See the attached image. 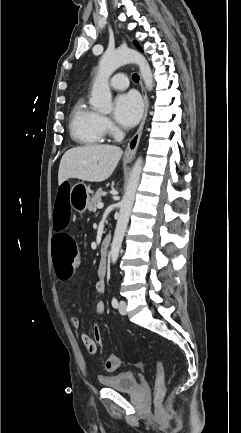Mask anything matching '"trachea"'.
Returning <instances> with one entry per match:
<instances>
[{
	"label": "trachea",
	"instance_id": "trachea-1",
	"mask_svg": "<svg viewBox=\"0 0 241 433\" xmlns=\"http://www.w3.org/2000/svg\"><path fill=\"white\" fill-rule=\"evenodd\" d=\"M132 78L135 82H139L140 77L138 74H133Z\"/></svg>",
	"mask_w": 241,
	"mask_h": 433
}]
</instances>
